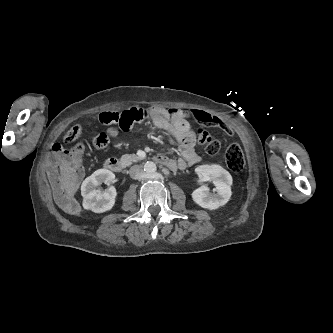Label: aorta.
Listing matches in <instances>:
<instances>
[{
	"label": "aorta",
	"mask_w": 333,
	"mask_h": 333,
	"mask_svg": "<svg viewBox=\"0 0 333 333\" xmlns=\"http://www.w3.org/2000/svg\"><path fill=\"white\" fill-rule=\"evenodd\" d=\"M157 170L156 164L152 161L146 162L144 164V171L147 174H154Z\"/></svg>",
	"instance_id": "1"
}]
</instances>
